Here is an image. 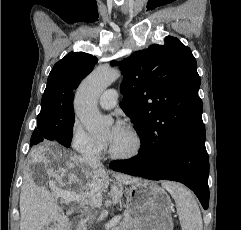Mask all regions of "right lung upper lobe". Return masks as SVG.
<instances>
[{
  "label": "right lung upper lobe",
  "mask_w": 241,
  "mask_h": 230,
  "mask_svg": "<svg viewBox=\"0 0 241 230\" xmlns=\"http://www.w3.org/2000/svg\"><path fill=\"white\" fill-rule=\"evenodd\" d=\"M98 59L84 52H70L52 68L41 103V112L70 115L73 91L93 69Z\"/></svg>",
  "instance_id": "cb5924a9"
}]
</instances>
